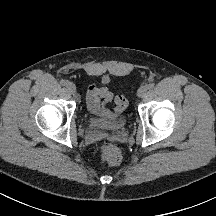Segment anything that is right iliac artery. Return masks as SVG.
<instances>
[{
	"label": "right iliac artery",
	"mask_w": 216,
	"mask_h": 216,
	"mask_svg": "<svg viewBox=\"0 0 216 216\" xmlns=\"http://www.w3.org/2000/svg\"><path fill=\"white\" fill-rule=\"evenodd\" d=\"M67 83H68V82H67L66 80H63V79L60 81V84H61L62 86H66Z\"/></svg>",
	"instance_id": "1"
}]
</instances>
